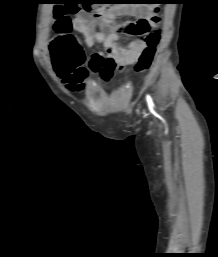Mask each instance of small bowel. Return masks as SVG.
Masks as SVG:
<instances>
[{
	"label": "small bowel",
	"mask_w": 218,
	"mask_h": 257,
	"mask_svg": "<svg viewBox=\"0 0 218 257\" xmlns=\"http://www.w3.org/2000/svg\"><path fill=\"white\" fill-rule=\"evenodd\" d=\"M144 10H136L135 7H112L105 14L97 17L86 10L79 11L72 21L75 31L84 36L85 44L94 49L96 44L103 45V52H88L89 67H80L69 76H61L66 87L71 90H80L84 81L91 73H97L100 82H109L115 78L125 66L135 64L147 48V41L143 38H135L127 45L119 43V35L111 24L110 15L113 13H142Z\"/></svg>",
	"instance_id": "obj_1"
}]
</instances>
